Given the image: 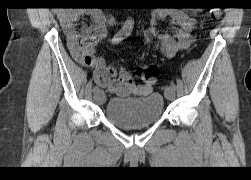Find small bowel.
I'll list each match as a JSON object with an SVG mask.
<instances>
[{"instance_id": "small-bowel-1", "label": "small bowel", "mask_w": 251, "mask_h": 180, "mask_svg": "<svg viewBox=\"0 0 251 180\" xmlns=\"http://www.w3.org/2000/svg\"><path fill=\"white\" fill-rule=\"evenodd\" d=\"M89 21L78 25L82 16ZM170 17L178 26L174 34L160 30L161 21ZM70 53L76 61L94 69V81L109 93L119 97H141L152 92L151 86L137 85L132 76L121 66L109 65L103 58L94 56V47L105 38L112 24L111 18L99 9H84L62 12L59 15ZM196 24L193 13L180 9L159 8L152 12L150 32L157 39L161 52L173 57L178 52L189 49L193 41L192 32Z\"/></svg>"}]
</instances>
